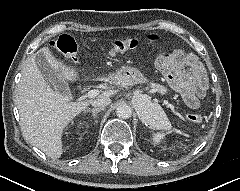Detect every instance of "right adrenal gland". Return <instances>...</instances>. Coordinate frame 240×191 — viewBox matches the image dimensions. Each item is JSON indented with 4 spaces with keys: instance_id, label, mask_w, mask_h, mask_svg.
<instances>
[{
    "instance_id": "1",
    "label": "right adrenal gland",
    "mask_w": 240,
    "mask_h": 191,
    "mask_svg": "<svg viewBox=\"0 0 240 191\" xmlns=\"http://www.w3.org/2000/svg\"><path fill=\"white\" fill-rule=\"evenodd\" d=\"M104 109H87L85 112H90L93 116L94 119L97 118V114L100 112V111H103ZM97 122V121H96Z\"/></svg>"
}]
</instances>
